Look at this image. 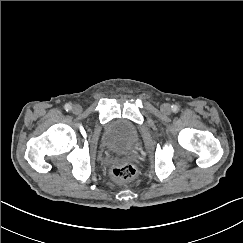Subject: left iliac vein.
Listing matches in <instances>:
<instances>
[{
    "label": "left iliac vein",
    "mask_w": 243,
    "mask_h": 243,
    "mask_svg": "<svg viewBox=\"0 0 243 243\" xmlns=\"http://www.w3.org/2000/svg\"><path fill=\"white\" fill-rule=\"evenodd\" d=\"M161 111L163 113H166V114L170 113L171 112V106H170V104H168V103L163 104L161 106Z\"/></svg>",
    "instance_id": "1"
}]
</instances>
